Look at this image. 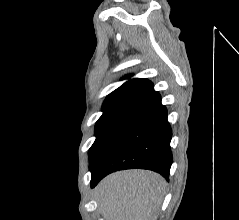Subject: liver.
<instances>
[{
    "label": "liver",
    "mask_w": 239,
    "mask_h": 220,
    "mask_svg": "<svg viewBox=\"0 0 239 220\" xmlns=\"http://www.w3.org/2000/svg\"><path fill=\"white\" fill-rule=\"evenodd\" d=\"M165 186L157 173L120 171L98 184L96 198L105 220H156Z\"/></svg>",
    "instance_id": "liver-1"
}]
</instances>
